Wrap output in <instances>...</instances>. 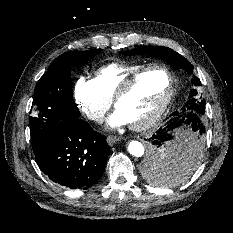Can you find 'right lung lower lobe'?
<instances>
[{"instance_id":"right-lung-lower-lobe-1","label":"right lung lower lobe","mask_w":233,"mask_h":233,"mask_svg":"<svg viewBox=\"0 0 233 233\" xmlns=\"http://www.w3.org/2000/svg\"><path fill=\"white\" fill-rule=\"evenodd\" d=\"M109 151L106 137L87 122L66 118L58 122L50 143L36 162L52 181L71 189H88L102 176Z\"/></svg>"}]
</instances>
